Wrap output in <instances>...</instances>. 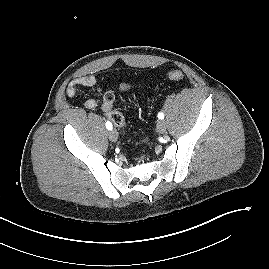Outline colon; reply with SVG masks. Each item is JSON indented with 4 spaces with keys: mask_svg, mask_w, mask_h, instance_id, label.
<instances>
[{
    "mask_svg": "<svg viewBox=\"0 0 269 269\" xmlns=\"http://www.w3.org/2000/svg\"><path fill=\"white\" fill-rule=\"evenodd\" d=\"M169 79L173 81H181L183 79V73L180 70H171L168 73ZM115 101V95L112 91H108L103 96V108L106 110V116L118 127L125 129L124 116L113 109Z\"/></svg>",
    "mask_w": 269,
    "mask_h": 269,
    "instance_id": "obj_1",
    "label": "colon"
}]
</instances>
